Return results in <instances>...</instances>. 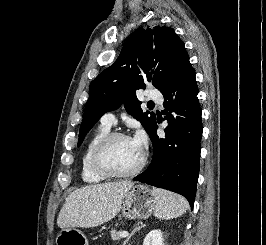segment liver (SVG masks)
Masks as SVG:
<instances>
[{
    "label": "liver",
    "instance_id": "obj_1",
    "mask_svg": "<svg viewBox=\"0 0 266 245\" xmlns=\"http://www.w3.org/2000/svg\"><path fill=\"white\" fill-rule=\"evenodd\" d=\"M134 183H103L76 189L68 195L57 219L60 229L68 227H98L111 221L120 211V205Z\"/></svg>",
    "mask_w": 266,
    "mask_h": 245
}]
</instances>
